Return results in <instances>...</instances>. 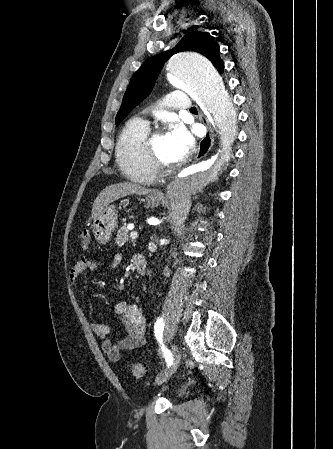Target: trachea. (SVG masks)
<instances>
[{
    "mask_svg": "<svg viewBox=\"0 0 333 449\" xmlns=\"http://www.w3.org/2000/svg\"><path fill=\"white\" fill-rule=\"evenodd\" d=\"M190 111H191V112H195V111H197V109H196V107H192V108L190 109Z\"/></svg>",
    "mask_w": 333,
    "mask_h": 449,
    "instance_id": "trachea-1",
    "label": "trachea"
}]
</instances>
